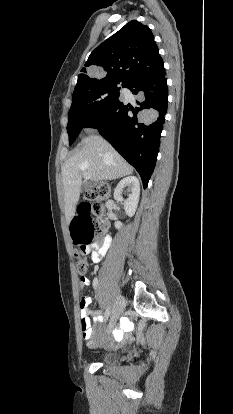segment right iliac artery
<instances>
[{"label": "right iliac artery", "mask_w": 233, "mask_h": 414, "mask_svg": "<svg viewBox=\"0 0 233 414\" xmlns=\"http://www.w3.org/2000/svg\"><path fill=\"white\" fill-rule=\"evenodd\" d=\"M109 315H110V308H108V310H107V318H108Z\"/></svg>", "instance_id": "obj_1"}]
</instances>
